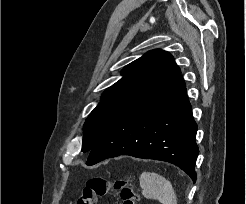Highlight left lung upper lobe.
<instances>
[{
  "label": "left lung upper lobe",
  "instance_id": "5c2ea615",
  "mask_svg": "<svg viewBox=\"0 0 246 204\" xmlns=\"http://www.w3.org/2000/svg\"><path fill=\"white\" fill-rule=\"evenodd\" d=\"M180 73L172 55L163 50L150 51L125 66L123 77L104 91L101 102L87 117L82 152H89L116 121Z\"/></svg>",
  "mask_w": 246,
  "mask_h": 204
}]
</instances>
